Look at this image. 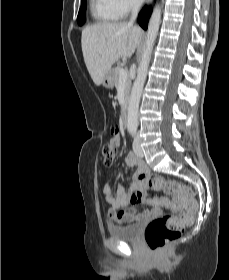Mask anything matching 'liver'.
<instances>
[{
  "mask_svg": "<svg viewBox=\"0 0 229 280\" xmlns=\"http://www.w3.org/2000/svg\"><path fill=\"white\" fill-rule=\"evenodd\" d=\"M143 31L133 24L100 23L82 31L84 62L95 83L100 86L105 74L122 57H131L139 45Z\"/></svg>",
  "mask_w": 229,
  "mask_h": 280,
  "instance_id": "6515ba94",
  "label": "liver"
}]
</instances>
